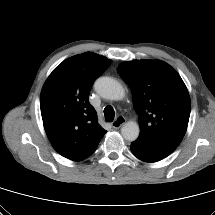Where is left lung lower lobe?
<instances>
[{
  "label": "left lung lower lobe",
  "mask_w": 215,
  "mask_h": 215,
  "mask_svg": "<svg viewBox=\"0 0 215 215\" xmlns=\"http://www.w3.org/2000/svg\"><path fill=\"white\" fill-rule=\"evenodd\" d=\"M130 148L132 153L144 162H157L169 155L156 151L136 141L131 143Z\"/></svg>",
  "instance_id": "0a47b994"
}]
</instances>
